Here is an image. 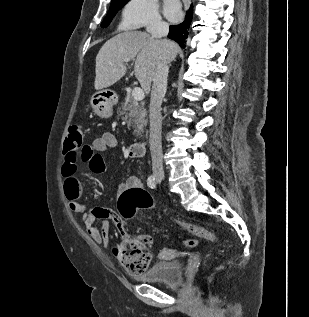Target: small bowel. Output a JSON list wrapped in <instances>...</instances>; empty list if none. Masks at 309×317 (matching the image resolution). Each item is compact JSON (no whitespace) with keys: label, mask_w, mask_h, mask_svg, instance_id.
Listing matches in <instances>:
<instances>
[{"label":"small bowel","mask_w":309,"mask_h":317,"mask_svg":"<svg viewBox=\"0 0 309 317\" xmlns=\"http://www.w3.org/2000/svg\"><path fill=\"white\" fill-rule=\"evenodd\" d=\"M117 145L118 140L116 136L110 132H106L88 146L87 153L81 158L87 163L91 172L103 175L106 172V165L102 154L109 149L116 148ZM76 173V161H67L65 159L62 166V176L64 179V193L69 207L73 212L81 214V223L92 240L97 244H102L105 248H109L110 235L108 220H111L116 225L122 235L126 233V223L118 213L111 209L104 207L88 209L81 201L82 186ZM134 188L144 189L143 181L137 176H131L120 184L119 193L122 194ZM97 223H99L100 226H98Z\"/></svg>","instance_id":"1"}]
</instances>
